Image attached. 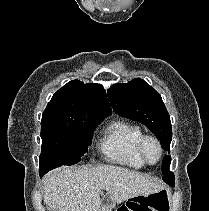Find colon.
Returning a JSON list of instances; mask_svg holds the SVG:
<instances>
[{"label": "colon", "mask_w": 209, "mask_h": 211, "mask_svg": "<svg viewBox=\"0 0 209 211\" xmlns=\"http://www.w3.org/2000/svg\"><path fill=\"white\" fill-rule=\"evenodd\" d=\"M117 211H168L167 195L160 191L146 196H135Z\"/></svg>", "instance_id": "1"}]
</instances>
